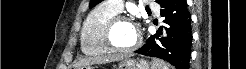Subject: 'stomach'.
<instances>
[{
  "instance_id": "obj_1",
  "label": "stomach",
  "mask_w": 246,
  "mask_h": 69,
  "mask_svg": "<svg viewBox=\"0 0 246 69\" xmlns=\"http://www.w3.org/2000/svg\"><path fill=\"white\" fill-rule=\"evenodd\" d=\"M77 69H95V67L88 65ZM118 69H149V65L144 59H125L119 64Z\"/></svg>"
}]
</instances>
